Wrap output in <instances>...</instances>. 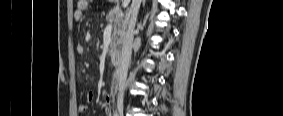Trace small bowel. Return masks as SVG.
Here are the masks:
<instances>
[{"instance_id":"1","label":"small bowel","mask_w":283,"mask_h":116,"mask_svg":"<svg viewBox=\"0 0 283 116\" xmlns=\"http://www.w3.org/2000/svg\"><path fill=\"white\" fill-rule=\"evenodd\" d=\"M87 6H88V1H86V0L78 1V7L75 9L74 14H73L74 20H76V21L83 20ZM76 52L79 55H83L84 54V47L82 45H77L76 46ZM95 98H96V95H95L94 92H88L87 95H86V101H87L88 104L92 103L95 100ZM111 102H112L111 96L107 95L106 101L102 105V115L112 116ZM87 108H88L87 105H82L80 107V111L85 112L87 110Z\"/></svg>"}]
</instances>
